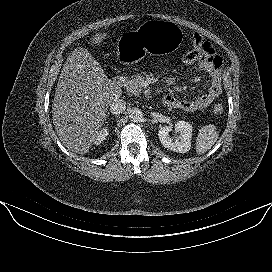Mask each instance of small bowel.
Segmentation results:
<instances>
[{"instance_id":"c3829d8e","label":"small bowel","mask_w":272,"mask_h":272,"mask_svg":"<svg viewBox=\"0 0 272 272\" xmlns=\"http://www.w3.org/2000/svg\"><path fill=\"white\" fill-rule=\"evenodd\" d=\"M192 42L195 49L199 50L201 54L194 69L209 76V88L204 94L193 99H179L173 95L165 97V104L187 112H194L210 106L222 90V56L214 50L209 42L199 35H194Z\"/></svg>"}]
</instances>
